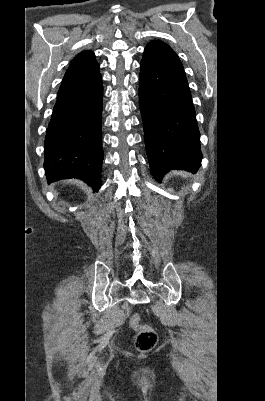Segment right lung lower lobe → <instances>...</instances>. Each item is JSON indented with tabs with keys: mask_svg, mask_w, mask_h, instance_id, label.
<instances>
[{
	"mask_svg": "<svg viewBox=\"0 0 265 401\" xmlns=\"http://www.w3.org/2000/svg\"><path fill=\"white\" fill-rule=\"evenodd\" d=\"M102 79L94 87L58 95L44 141L48 183L79 178L101 186Z\"/></svg>",
	"mask_w": 265,
	"mask_h": 401,
	"instance_id": "98d812e1",
	"label": "right lung lower lobe"
}]
</instances>
